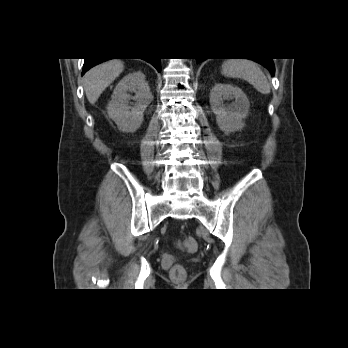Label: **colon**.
<instances>
[{"mask_svg": "<svg viewBox=\"0 0 348 348\" xmlns=\"http://www.w3.org/2000/svg\"><path fill=\"white\" fill-rule=\"evenodd\" d=\"M178 246L185 252H195L197 249V243L196 241L191 238V237H187L184 238L182 240L178 241ZM171 274L174 277H179V276H183L184 275V268L181 265H175L172 270H171Z\"/></svg>", "mask_w": 348, "mask_h": 348, "instance_id": "1", "label": "colon"}]
</instances>
